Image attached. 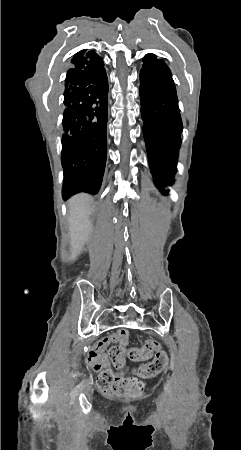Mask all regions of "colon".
<instances>
[{
  "label": "colon",
  "instance_id": "1",
  "mask_svg": "<svg viewBox=\"0 0 241 450\" xmlns=\"http://www.w3.org/2000/svg\"><path fill=\"white\" fill-rule=\"evenodd\" d=\"M157 340H149L142 347H132L129 349L117 345L110 349L109 355L116 369L123 366L124 359L148 360L154 354V359L146 364L142 373L147 378H152L159 374L166 366L165 352L160 350ZM97 387L106 399H126L138 398L143 393V384L131 377H124L108 370L101 371L96 380Z\"/></svg>",
  "mask_w": 241,
  "mask_h": 450
}]
</instances>
